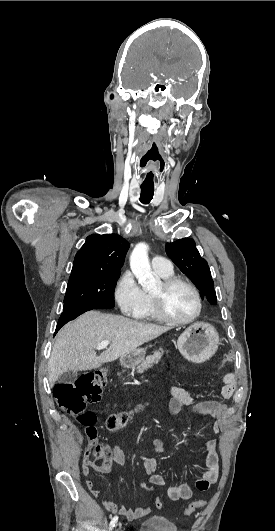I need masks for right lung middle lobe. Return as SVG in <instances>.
I'll return each mask as SVG.
<instances>
[{"label":"right lung middle lobe","mask_w":275,"mask_h":531,"mask_svg":"<svg viewBox=\"0 0 275 531\" xmlns=\"http://www.w3.org/2000/svg\"><path fill=\"white\" fill-rule=\"evenodd\" d=\"M120 273H85L69 278L63 311L114 307V289Z\"/></svg>","instance_id":"obj_1"}]
</instances>
